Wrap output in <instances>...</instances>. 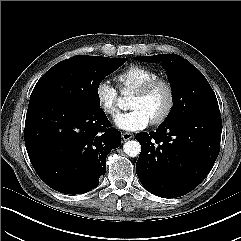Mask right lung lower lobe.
Instances as JSON below:
<instances>
[{
  "instance_id": "98d812e1",
  "label": "right lung lower lobe",
  "mask_w": 241,
  "mask_h": 241,
  "mask_svg": "<svg viewBox=\"0 0 241 241\" xmlns=\"http://www.w3.org/2000/svg\"><path fill=\"white\" fill-rule=\"evenodd\" d=\"M100 108L84 111L65 102L28 107L24 140L39 177L65 194L88 192L106 172V157L120 146V131Z\"/></svg>"
}]
</instances>
